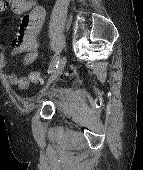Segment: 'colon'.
I'll return each instance as SVG.
<instances>
[{"label": "colon", "mask_w": 143, "mask_h": 170, "mask_svg": "<svg viewBox=\"0 0 143 170\" xmlns=\"http://www.w3.org/2000/svg\"><path fill=\"white\" fill-rule=\"evenodd\" d=\"M45 80V75L39 71H33L29 75V81L33 84H41Z\"/></svg>", "instance_id": "colon-1"}]
</instances>
